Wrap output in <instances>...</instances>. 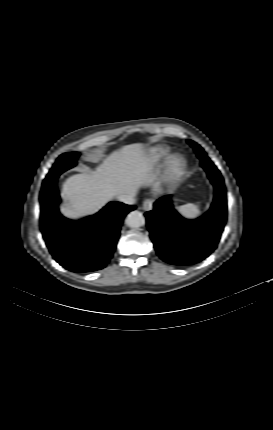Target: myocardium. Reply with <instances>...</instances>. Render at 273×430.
<instances>
[{"instance_id":"myocardium-1","label":"myocardium","mask_w":273,"mask_h":430,"mask_svg":"<svg viewBox=\"0 0 273 430\" xmlns=\"http://www.w3.org/2000/svg\"><path fill=\"white\" fill-rule=\"evenodd\" d=\"M185 169V161L180 156H172L167 163V171L171 177L180 176Z\"/></svg>"}]
</instances>
